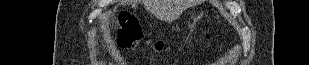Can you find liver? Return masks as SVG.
Returning <instances> with one entry per match:
<instances>
[{"label":"liver","mask_w":309,"mask_h":65,"mask_svg":"<svg viewBox=\"0 0 309 65\" xmlns=\"http://www.w3.org/2000/svg\"><path fill=\"white\" fill-rule=\"evenodd\" d=\"M145 5H146V7H151V8H153V7H154V5H152V3H151V2H146V3H145Z\"/></svg>","instance_id":"6515ba94"}]
</instances>
